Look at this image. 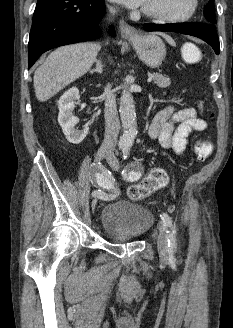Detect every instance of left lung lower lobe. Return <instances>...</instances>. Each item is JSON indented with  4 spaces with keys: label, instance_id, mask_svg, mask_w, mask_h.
I'll return each mask as SVG.
<instances>
[{
    "label": "left lung lower lobe",
    "instance_id": "left-lung-lower-lobe-1",
    "mask_svg": "<svg viewBox=\"0 0 233 328\" xmlns=\"http://www.w3.org/2000/svg\"><path fill=\"white\" fill-rule=\"evenodd\" d=\"M146 31H167L177 32L181 34L198 37L207 42L214 49L216 54H219L220 46L219 39L215 28L212 25L205 23H172V24H144Z\"/></svg>",
    "mask_w": 233,
    "mask_h": 328
}]
</instances>
